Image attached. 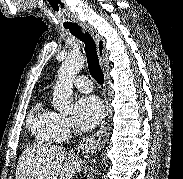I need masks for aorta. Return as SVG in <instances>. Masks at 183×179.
I'll return each mask as SVG.
<instances>
[{
  "label": "aorta",
  "mask_w": 183,
  "mask_h": 179,
  "mask_svg": "<svg viewBox=\"0 0 183 179\" xmlns=\"http://www.w3.org/2000/svg\"><path fill=\"white\" fill-rule=\"evenodd\" d=\"M85 62L83 55L68 56L62 63L53 91L52 105L60 112L73 109V82Z\"/></svg>",
  "instance_id": "obj_1"
}]
</instances>
